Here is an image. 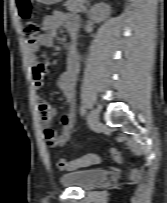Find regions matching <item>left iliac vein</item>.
<instances>
[{"mask_svg": "<svg viewBox=\"0 0 167 203\" xmlns=\"http://www.w3.org/2000/svg\"><path fill=\"white\" fill-rule=\"evenodd\" d=\"M88 122L91 127H96L99 123V113L96 110H92L88 115Z\"/></svg>", "mask_w": 167, "mask_h": 203, "instance_id": "left-iliac-vein-1", "label": "left iliac vein"}]
</instances>
